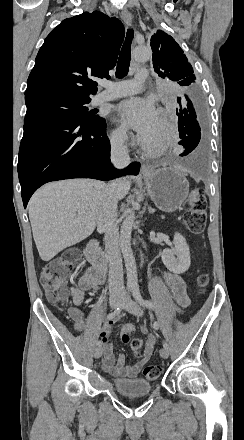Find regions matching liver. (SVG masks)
<instances>
[{"label": "liver", "mask_w": 244, "mask_h": 440, "mask_svg": "<svg viewBox=\"0 0 244 440\" xmlns=\"http://www.w3.org/2000/svg\"><path fill=\"white\" fill-rule=\"evenodd\" d=\"M105 186L98 180H62L49 182L33 194L28 204L29 220L41 260L49 262L64 248L91 236ZM130 186L128 180H120L118 200L125 198Z\"/></svg>", "instance_id": "liver-1"}]
</instances>
